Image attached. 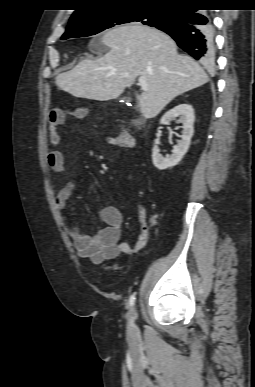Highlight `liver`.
Instances as JSON below:
<instances>
[{
    "instance_id": "obj_1",
    "label": "liver",
    "mask_w": 255,
    "mask_h": 387,
    "mask_svg": "<svg viewBox=\"0 0 255 387\" xmlns=\"http://www.w3.org/2000/svg\"><path fill=\"white\" fill-rule=\"evenodd\" d=\"M101 42L110 50L59 74L58 88L75 97L108 101L119 97L137 77H144L148 88L136 93V100L150 119L177 96L208 82L205 71L191 57L178 54L173 39L158 29L119 26L107 31Z\"/></svg>"
}]
</instances>
